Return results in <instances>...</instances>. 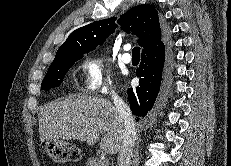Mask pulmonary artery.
Returning <instances> with one entry per match:
<instances>
[{
  "label": "pulmonary artery",
  "mask_w": 231,
  "mask_h": 166,
  "mask_svg": "<svg viewBox=\"0 0 231 166\" xmlns=\"http://www.w3.org/2000/svg\"><path fill=\"white\" fill-rule=\"evenodd\" d=\"M125 51H129L130 50V46L129 45H126L124 47ZM122 61L126 64H129L131 63L132 61V57L131 55L128 53V52H125L123 55H122Z\"/></svg>",
  "instance_id": "obj_1"
}]
</instances>
